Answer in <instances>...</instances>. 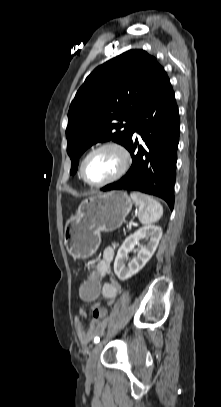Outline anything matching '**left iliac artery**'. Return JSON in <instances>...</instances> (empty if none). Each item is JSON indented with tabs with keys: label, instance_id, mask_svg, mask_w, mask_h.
<instances>
[{
	"label": "left iliac artery",
	"instance_id": "44dca946",
	"mask_svg": "<svg viewBox=\"0 0 221 407\" xmlns=\"http://www.w3.org/2000/svg\"><path fill=\"white\" fill-rule=\"evenodd\" d=\"M99 341H100L99 337H96V338L94 339V343H98Z\"/></svg>",
	"mask_w": 221,
	"mask_h": 407
}]
</instances>
